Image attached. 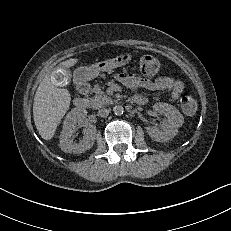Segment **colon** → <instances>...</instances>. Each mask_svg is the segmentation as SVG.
<instances>
[{"instance_id": "colon-1", "label": "colon", "mask_w": 231, "mask_h": 231, "mask_svg": "<svg viewBox=\"0 0 231 231\" xmlns=\"http://www.w3.org/2000/svg\"><path fill=\"white\" fill-rule=\"evenodd\" d=\"M139 68L143 75L152 77L161 71L162 65L157 58L151 55H145L139 60ZM180 105L183 112L187 115H193L197 110V102L190 96L182 97L180 100Z\"/></svg>"}]
</instances>
